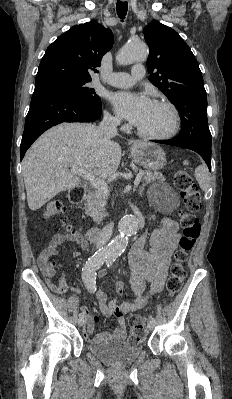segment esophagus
Returning a JSON list of instances; mask_svg holds the SVG:
<instances>
[{
  "label": "esophagus",
  "instance_id": "obj_1",
  "mask_svg": "<svg viewBox=\"0 0 232 399\" xmlns=\"http://www.w3.org/2000/svg\"><path fill=\"white\" fill-rule=\"evenodd\" d=\"M123 2H125V0H122ZM140 145V142H138V141H136V142H134L133 143V147H137V146H139Z\"/></svg>",
  "mask_w": 232,
  "mask_h": 399
}]
</instances>
